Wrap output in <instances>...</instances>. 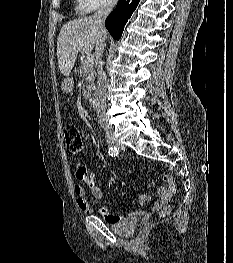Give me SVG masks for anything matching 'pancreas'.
Masks as SVG:
<instances>
[{
    "mask_svg": "<svg viewBox=\"0 0 233 263\" xmlns=\"http://www.w3.org/2000/svg\"><path fill=\"white\" fill-rule=\"evenodd\" d=\"M80 76L83 77V95L87 99H91L94 92V80L95 70L92 65L86 64L85 61H81V65L78 69Z\"/></svg>",
    "mask_w": 233,
    "mask_h": 263,
    "instance_id": "cf45deb5",
    "label": "pancreas"
}]
</instances>
